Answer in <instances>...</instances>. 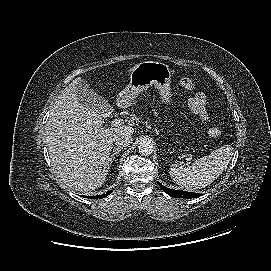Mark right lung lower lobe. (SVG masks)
<instances>
[{"label":"right lung lower lobe","instance_id":"1","mask_svg":"<svg viewBox=\"0 0 271 271\" xmlns=\"http://www.w3.org/2000/svg\"><path fill=\"white\" fill-rule=\"evenodd\" d=\"M109 194H111V191H108L106 194H102V195H98V196H84L85 198H94V199H96V198H104V197H106V196H108Z\"/></svg>","mask_w":271,"mask_h":271}]
</instances>
